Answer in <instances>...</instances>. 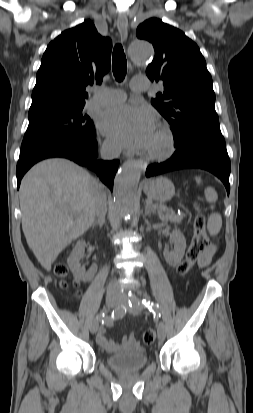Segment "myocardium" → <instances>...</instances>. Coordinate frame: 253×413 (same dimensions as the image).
Wrapping results in <instances>:
<instances>
[{
  "instance_id": "obj_1",
  "label": "myocardium",
  "mask_w": 253,
  "mask_h": 413,
  "mask_svg": "<svg viewBox=\"0 0 253 413\" xmlns=\"http://www.w3.org/2000/svg\"><path fill=\"white\" fill-rule=\"evenodd\" d=\"M157 133L160 139V145L149 147L146 155L152 160H166L173 155L176 149L174 135L166 124H159Z\"/></svg>"
}]
</instances>
